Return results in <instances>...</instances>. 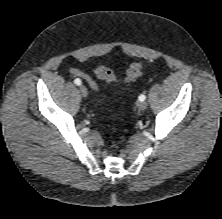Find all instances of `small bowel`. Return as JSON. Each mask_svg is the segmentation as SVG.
Wrapping results in <instances>:
<instances>
[{
  "label": "small bowel",
  "mask_w": 222,
  "mask_h": 219,
  "mask_svg": "<svg viewBox=\"0 0 222 219\" xmlns=\"http://www.w3.org/2000/svg\"><path fill=\"white\" fill-rule=\"evenodd\" d=\"M71 73L76 76L79 77L83 80H85L90 86L91 85H96L95 81L86 73L76 69V68H72L71 69Z\"/></svg>",
  "instance_id": "c3829d8e"
}]
</instances>
